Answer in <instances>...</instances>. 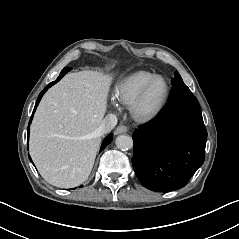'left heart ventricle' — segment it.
<instances>
[{"mask_svg": "<svg viewBox=\"0 0 239 239\" xmlns=\"http://www.w3.org/2000/svg\"><path fill=\"white\" fill-rule=\"evenodd\" d=\"M166 93V83L164 80L156 81L150 88L145 101L142 105V111L146 114L152 113L157 109Z\"/></svg>", "mask_w": 239, "mask_h": 239, "instance_id": "b2bd125f", "label": "left heart ventricle"}]
</instances>
